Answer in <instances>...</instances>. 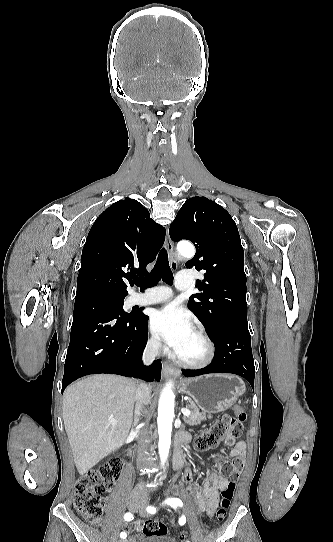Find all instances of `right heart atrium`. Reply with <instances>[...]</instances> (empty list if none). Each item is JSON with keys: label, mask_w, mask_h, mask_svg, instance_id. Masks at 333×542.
Wrapping results in <instances>:
<instances>
[{"label": "right heart atrium", "mask_w": 333, "mask_h": 542, "mask_svg": "<svg viewBox=\"0 0 333 542\" xmlns=\"http://www.w3.org/2000/svg\"><path fill=\"white\" fill-rule=\"evenodd\" d=\"M147 348L153 354H160L164 351V347L159 337L150 328L147 338Z\"/></svg>", "instance_id": "obj_1"}]
</instances>
